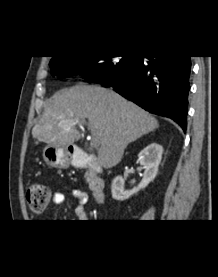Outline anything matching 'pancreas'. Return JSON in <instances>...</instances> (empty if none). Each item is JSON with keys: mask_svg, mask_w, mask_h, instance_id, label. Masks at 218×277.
I'll use <instances>...</instances> for the list:
<instances>
[{"mask_svg": "<svg viewBox=\"0 0 218 277\" xmlns=\"http://www.w3.org/2000/svg\"><path fill=\"white\" fill-rule=\"evenodd\" d=\"M88 175H89V174H88V173H86V174H85V178H88Z\"/></svg>", "mask_w": 218, "mask_h": 277, "instance_id": "obj_1", "label": "pancreas"}]
</instances>
